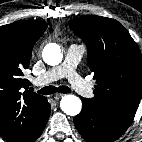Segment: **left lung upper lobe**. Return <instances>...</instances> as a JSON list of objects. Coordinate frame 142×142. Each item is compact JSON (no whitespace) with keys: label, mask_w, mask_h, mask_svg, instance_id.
Wrapping results in <instances>:
<instances>
[{"label":"left lung upper lobe","mask_w":142,"mask_h":142,"mask_svg":"<svg viewBox=\"0 0 142 142\" xmlns=\"http://www.w3.org/2000/svg\"><path fill=\"white\" fill-rule=\"evenodd\" d=\"M88 47L96 81L89 99L122 123L131 124L142 95V59L129 32L116 20L87 15L69 21Z\"/></svg>","instance_id":"obj_1"}]
</instances>
